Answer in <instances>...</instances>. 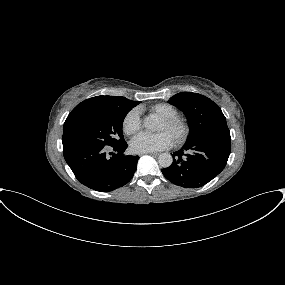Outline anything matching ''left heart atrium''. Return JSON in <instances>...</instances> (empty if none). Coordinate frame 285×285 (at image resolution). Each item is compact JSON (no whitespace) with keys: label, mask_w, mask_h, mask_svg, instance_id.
<instances>
[{"label":"left heart atrium","mask_w":285,"mask_h":285,"mask_svg":"<svg viewBox=\"0 0 285 285\" xmlns=\"http://www.w3.org/2000/svg\"><path fill=\"white\" fill-rule=\"evenodd\" d=\"M173 144L171 136L166 132L157 134H139L130 143V148L134 153H149L169 148Z\"/></svg>","instance_id":"39dd6f15"}]
</instances>
